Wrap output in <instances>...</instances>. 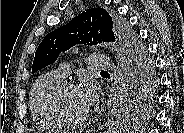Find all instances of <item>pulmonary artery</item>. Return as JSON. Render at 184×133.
I'll use <instances>...</instances> for the list:
<instances>
[{
  "instance_id": "1",
  "label": "pulmonary artery",
  "mask_w": 184,
  "mask_h": 133,
  "mask_svg": "<svg viewBox=\"0 0 184 133\" xmlns=\"http://www.w3.org/2000/svg\"><path fill=\"white\" fill-rule=\"evenodd\" d=\"M86 63L93 70H109L113 68L112 61L105 55L92 54L86 58ZM57 72L65 77L70 72V67L67 63H63L59 66Z\"/></svg>"
}]
</instances>
